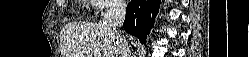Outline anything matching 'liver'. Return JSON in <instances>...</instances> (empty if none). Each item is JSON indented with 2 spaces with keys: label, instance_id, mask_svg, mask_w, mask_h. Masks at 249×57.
<instances>
[{
  "label": "liver",
  "instance_id": "obj_1",
  "mask_svg": "<svg viewBox=\"0 0 249 57\" xmlns=\"http://www.w3.org/2000/svg\"><path fill=\"white\" fill-rule=\"evenodd\" d=\"M61 40L63 57H122L116 37L102 23H69Z\"/></svg>",
  "mask_w": 249,
  "mask_h": 57
}]
</instances>
